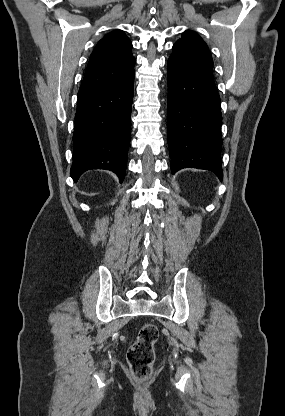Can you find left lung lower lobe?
Here are the masks:
<instances>
[{"mask_svg":"<svg viewBox=\"0 0 285 416\" xmlns=\"http://www.w3.org/2000/svg\"><path fill=\"white\" fill-rule=\"evenodd\" d=\"M167 65L171 171L205 169L222 180V116L214 79L172 58Z\"/></svg>","mask_w":285,"mask_h":416,"instance_id":"1","label":"left lung lower lobe"}]
</instances>
